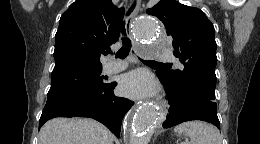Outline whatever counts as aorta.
Here are the masks:
<instances>
[{"instance_id": "762f6f07", "label": "aorta", "mask_w": 260, "mask_h": 144, "mask_svg": "<svg viewBox=\"0 0 260 144\" xmlns=\"http://www.w3.org/2000/svg\"><path fill=\"white\" fill-rule=\"evenodd\" d=\"M136 37L149 43L159 40L155 19L144 17L134 25ZM158 108L153 103L143 104L134 109L126 118V135L129 144H149L154 126L158 123Z\"/></svg>"}]
</instances>
